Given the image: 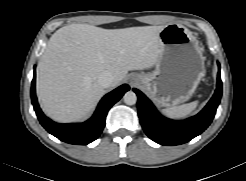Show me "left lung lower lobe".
Wrapping results in <instances>:
<instances>
[{
    "label": "left lung lower lobe",
    "instance_id": "obj_1",
    "mask_svg": "<svg viewBox=\"0 0 246 181\" xmlns=\"http://www.w3.org/2000/svg\"><path fill=\"white\" fill-rule=\"evenodd\" d=\"M217 88L208 104L194 117L183 121L163 117L152 102L139 90L133 89L138 96V115L146 135L153 141L167 146L184 144L201 134L212 122L222 95L220 66Z\"/></svg>",
    "mask_w": 246,
    "mask_h": 181
}]
</instances>
